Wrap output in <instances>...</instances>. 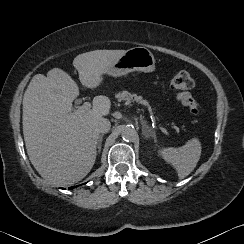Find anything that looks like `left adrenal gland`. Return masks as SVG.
Masks as SVG:
<instances>
[{"label":"left adrenal gland","mask_w":244,"mask_h":244,"mask_svg":"<svg viewBox=\"0 0 244 244\" xmlns=\"http://www.w3.org/2000/svg\"><path fill=\"white\" fill-rule=\"evenodd\" d=\"M141 120V124H142V134L146 137V138H149V137H152V138H155V131L153 129H151L147 122L141 117L140 118Z\"/></svg>","instance_id":"a2214340"}]
</instances>
